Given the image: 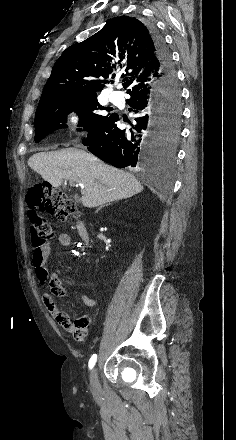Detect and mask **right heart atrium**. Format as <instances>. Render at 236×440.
I'll return each mask as SVG.
<instances>
[{
  "label": "right heart atrium",
  "mask_w": 236,
  "mask_h": 440,
  "mask_svg": "<svg viewBox=\"0 0 236 440\" xmlns=\"http://www.w3.org/2000/svg\"><path fill=\"white\" fill-rule=\"evenodd\" d=\"M66 123L71 127L75 128L79 125L80 122V113L77 109H70L65 113Z\"/></svg>",
  "instance_id": "d8ad5b80"
}]
</instances>
